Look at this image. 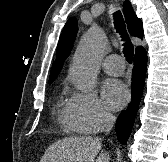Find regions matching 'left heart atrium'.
<instances>
[{
    "instance_id": "obj_1",
    "label": "left heart atrium",
    "mask_w": 168,
    "mask_h": 162,
    "mask_svg": "<svg viewBox=\"0 0 168 162\" xmlns=\"http://www.w3.org/2000/svg\"><path fill=\"white\" fill-rule=\"evenodd\" d=\"M102 96L108 108L119 110L128 102L129 91L123 82L116 79H108L103 83Z\"/></svg>"
}]
</instances>
